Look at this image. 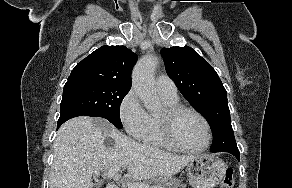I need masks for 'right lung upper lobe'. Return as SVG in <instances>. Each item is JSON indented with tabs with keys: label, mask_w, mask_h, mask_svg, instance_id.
<instances>
[{
	"label": "right lung upper lobe",
	"mask_w": 292,
	"mask_h": 188,
	"mask_svg": "<svg viewBox=\"0 0 292 188\" xmlns=\"http://www.w3.org/2000/svg\"><path fill=\"white\" fill-rule=\"evenodd\" d=\"M137 55L125 46H102L72 70L68 81L90 80L131 88V72Z\"/></svg>",
	"instance_id": "right-lung-upper-lobe-1"
}]
</instances>
